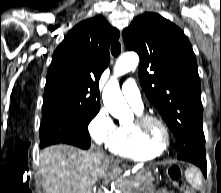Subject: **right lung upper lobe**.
I'll return each instance as SVG.
<instances>
[{
	"label": "right lung upper lobe",
	"mask_w": 221,
	"mask_h": 193,
	"mask_svg": "<svg viewBox=\"0 0 221 193\" xmlns=\"http://www.w3.org/2000/svg\"><path fill=\"white\" fill-rule=\"evenodd\" d=\"M119 35L102 16L69 31L53 54L42 111L100 109L99 79L110 61L109 47Z\"/></svg>",
	"instance_id": "right-lung-upper-lobe-1"
}]
</instances>
